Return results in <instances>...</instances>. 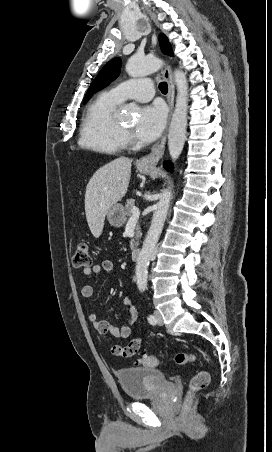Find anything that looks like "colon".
Wrapping results in <instances>:
<instances>
[{"instance_id": "1", "label": "colon", "mask_w": 272, "mask_h": 452, "mask_svg": "<svg viewBox=\"0 0 272 452\" xmlns=\"http://www.w3.org/2000/svg\"><path fill=\"white\" fill-rule=\"evenodd\" d=\"M91 263L92 258L88 244L83 242L77 244L75 253L73 255L74 267H87L90 266ZM114 351L124 357H130L135 355L139 351V343L138 341L134 340L129 342L126 346L115 347ZM175 361L179 365H185L195 362L196 356L192 353L180 352L176 355ZM136 363L141 366L156 367L159 363V360L154 355L143 354L136 360ZM209 380V373L205 370H201L193 375L189 382L185 401L190 402L197 391L204 389L208 385Z\"/></svg>"}]
</instances>
